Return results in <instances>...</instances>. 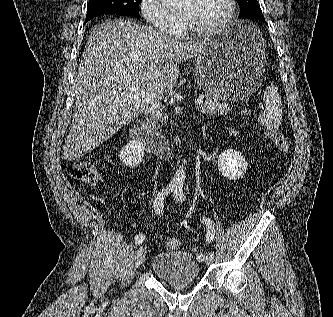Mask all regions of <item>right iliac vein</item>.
Returning a JSON list of instances; mask_svg holds the SVG:
<instances>
[{"mask_svg": "<svg viewBox=\"0 0 333 317\" xmlns=\"http://www.w3.org/2000/svg\"><path fill=\"white\" fill-rule=\"evenodd\" d=\"M146 250L144 247H139L135 256V266L139 267L145 260Z\"/></svg>", "mask_w": 333, "mask_h": 317, "instance_id": "right-iliac-vein-1", "label": "right iliac vein"}]
</instances>
